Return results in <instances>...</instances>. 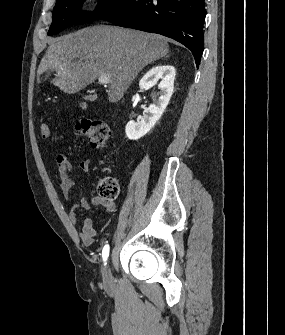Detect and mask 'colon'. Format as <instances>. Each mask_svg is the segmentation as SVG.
I'll use <instances>...</instances> for the list:
<instances>
[{
	"instance_id": "obj_1",
	"label": "colon",
	"mask_w": 285,
	"mask_h": 335,
	"mask_svg": "<svg viewBox=\"0 0 285 335\" xmlns=\"http://www.w3.org/2000/svg\"><path fill=\"white\" fill-rule=\"evenodd\" d=\"M39 130L43 138L50 136V128L47 122L42 121ZM75 130L95 148L104 147L110 140V129L102 121L84 119L75 125ZM97 191L102 199L112 202L119 195V183L114 177H103L98 183Z\"/></svg>"
}]
</instances>
